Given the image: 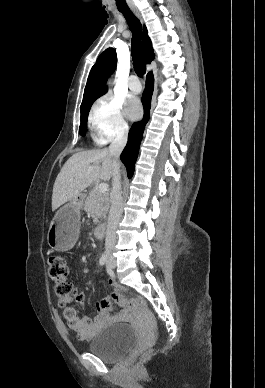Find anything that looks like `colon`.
Returning <instances> with one entry per match:
<instances>
[{"label":"colon","instance_id":"obj_1","mask_svg":"<svg viewBox=\"0 0 265 388\" xmlns=\"http://www.w3.org/2000/svg\"><path fill=\"white\" fill-rule=\"evenodd\" d=\"M67 274V260L59 255L52 256L48 262V276L54 283V293L62 306H66L72 301L74 293L72 284L67 281ZM142 352L143 349L138 347L133 350L132 357L136 358Z\"/></svg>","mask_w":265,"mask_h":388}]
</instances>
